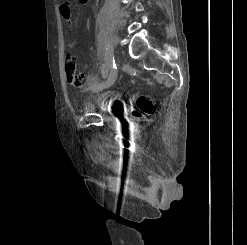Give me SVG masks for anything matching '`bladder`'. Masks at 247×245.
Returning a JSON list of instances; mask_svg holds the SVG:
<instances>
[{
	"label": "bladder",
	"mask_w": 247,
	"mask_h": 245,
	"mask_svg": "<svg viewBox=\"0 0 247 245\" xmlns=\"http://www.w3.org/2000/svg\"><path fill=\"white\" fill-rule=\"evenodd\" d=\"M119 102L118 94L114 92H101L95 98V109L101 112L108 110V107L114 109Z\"/></svg>",
	"instance_id": "31cf9c89"
}]
</instances>
